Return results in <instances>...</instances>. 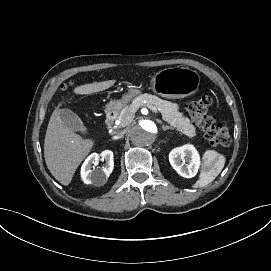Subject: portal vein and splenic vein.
I'll list each match as a JSON object with an SVG mask.
<instances>
[{
    "label": "portal vein and splenic vein",
    "mask_w": 271,
    "mask_h": 271,
    "mask_svg": "<svg viewBox=\"0 0 271 271\" xmlns=\"http://www.w3.org/2000/svg\"><path fill=\"white\" fill-rule=\"evenodd\" d=\"M145 107L147 106L149 109H151L153 112H156L158 115L160 114V112L157 110V109H155L154 107H152L151 105H144Z\"/></svg>",
    "instance_id": "obj_1"
}]
</instances>
